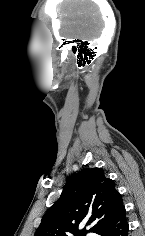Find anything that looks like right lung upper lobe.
Segmentation results:
<instances>
[{"label":"right lung upper lobe","mask_w":145,"mask_h":236,"mask_svg":"<svg viewBox=\"0 0 145 236\" xmlns=\"http://www.w3.org/2000/svg\"><path fill=\"white\" fill-rule=\"evenodd\" d=\"M124 207L121 194L103 169L76 173L66 184L61 197L42 218L34 236H85L95 232ZM92 223L90 230H79L82 221Z\"/></svg>","instance_id":"obj_1"}]
</instances>
